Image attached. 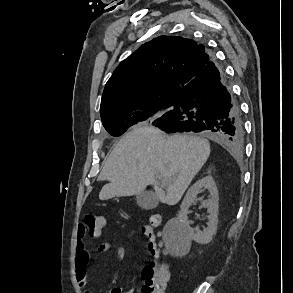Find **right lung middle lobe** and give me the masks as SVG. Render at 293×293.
Returning <instances> with one entry per match:
<instances>
[{
	"instance_id": "obj_1",
	"label": "right lung middle lobe",
	"mask_w": 293,
	"mask_h": 293,
	"mask_svg": "<svg viewBox=\"0 0 293 293\" xmlns=\"http://www.w3.org/2000/svg\"><path fill=\"white\" fill-rule=\"evenodd\" d=\"M176 98L163 101L154 108L129 113L125 115L109 116L102 119L103 126L113 136L122 135L130 126L145 120H155L175 107Z\"/></svg>"
}]
</instances>
